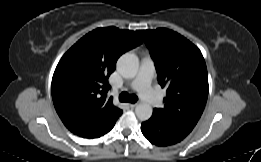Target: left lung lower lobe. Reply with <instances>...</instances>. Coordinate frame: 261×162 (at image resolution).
Wrapping results in <instances>:
<instances>
[{"label": "left lung lower lobe", "instance_id": "obj_1", "mask_svg": "<svg viewBox=\"0 0 261 162\" xmlns=\"http://www.w3.org/2000/svg\"><path fill=\"white\" fill-rule=\"evenodd\" d=\"M143 135L157 146H169L182 141L191 130L162 119L153 111L152 117L141 124Z\"/></svg>", "mask_w": 261, "mask_h": 162}]
</instances>
